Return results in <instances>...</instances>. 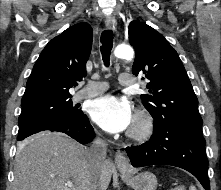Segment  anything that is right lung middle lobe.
Listing matches in <instances>:
<instances>
[{
	"mask_svg": "<svg viewBox=\"0 0 221 190\" xmlns=\"http://www.w3.org/2000/svg\"><path fill=\"white\" fill-rule=\"evenodd\" d=\"M82 111L73 107L70 98L56 99L22 106L18 119V135L25 134L43 126L69 124L82 116Z\"/></svg>",
	"mask_w": 221,
	"mask_h": 190,
	"instance_id": "right-lung-middle-lobe-1",
	"label": "right lung middle lobe"
}]
</instances>
